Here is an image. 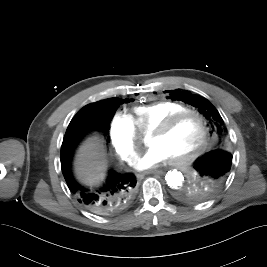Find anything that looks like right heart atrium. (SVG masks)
Listing matches in <instances>:
<instances>
[{
  "mask_svg": "<svg viewBox=\"0 0 267 267\" xmlns=\"http://www.w3.org/2000/svg\"><path fill=\"white\" fill-rule=\"evenodd\" d=\"M110 136L120 159L132 164L138 155L140 135L128 115L117 112L110 124Z\"/></svg>",
  "mask_w": 267,
  "mask_h": 267,
  "instance_id": "1",
  "label": "right heart atrium"
}]
</instances>
